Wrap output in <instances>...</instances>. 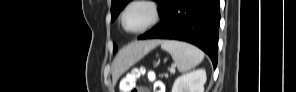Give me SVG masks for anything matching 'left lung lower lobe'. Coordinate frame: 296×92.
<instances>
[{
  "label": "left lung lower lobe",
  "mask_w": 296,
  "mask_h": 92,
  "mask_svg": "<svg viewBox=\"0 0 296 92\" xmlns=\"http://www.w3.org/2000/svg\"><path fill=\"white\" fill-rule=\"evenodd\" d=\"M219 0H169L163 20L139 39H175L202 49L217 66Z\"/></svg>",
  "instance_id": "left-lung-lower-lobe-1"
}]
</instances>
